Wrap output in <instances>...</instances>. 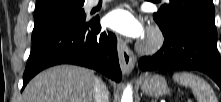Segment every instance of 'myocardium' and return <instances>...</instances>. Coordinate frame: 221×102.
Wrapping results in <instances>:
<instances>
[{"label": "myocardium", "instance_id": "f54148a6", "mask_svg": "<svg viewBox=\"0 0 221 102\" xmlns=\"http://www.w3.org/2000/svg\"><path fill=\"white\" fill-rule=\"evenodd\" d=\"M163 44V35L158 28H151L145 36L141 49L144 52H154Z\"/></svg>", "mask_w": 221, "mask_h": 102}]
</instances>
